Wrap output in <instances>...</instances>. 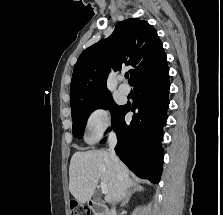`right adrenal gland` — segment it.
Masks as SVG:
<instances>
[{"label": "right adrenal gland", "mask_w": 223, "mask_h": 215, "mask_svg": "<svg viewBox=\"0 0 223 215\" xmlns=\"http://www.w3.org/2000/svg\"><path fill=\"white\" fill-rule=\"evenodd\" d=\"M142 187H135V185H132V189H128L127 193L123 195L122 203L121 205H126L128 203L131 193H134V191H141Z\"/></svg>", "instance_id": "obj_1"}]
</instances>
